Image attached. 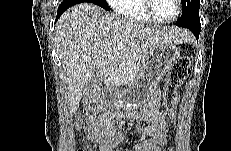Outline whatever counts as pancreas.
<instances>
[{
  "label": "pancreas",
  "instance_id": "obj_1",
  "mask_svg": "<svg viewBox=\"0 0 231 151\" xmlns=\"http://www.w3.org/2000/svg\"><path fill=\"white\" fill-rule=\"evenodd\" d=\"M137 67L135 65L129 66L126 71H122L112 79V85L121 86L134 81L136 78Z\"/></svg>",
  "mask_w": 231,
  "mask_h": 151
}]
</instances>
